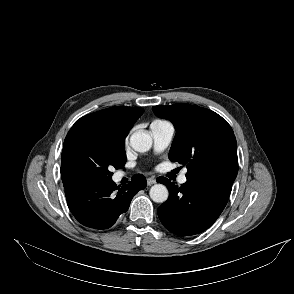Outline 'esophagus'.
I'll list each match as a JSON object with an SVG mask.
<instances>
[{
	"label": "esophagus",
	"instance_id": "esophagus-1",
	"mask_svg": "<svg viewBox=\"0 0 294 294\" xmlns=\"http://www.w3.org/2000/svg\"><path fill=\"white\" fill-rule=\"evenodd\" d=\"M156 183V180L152 177L147 178V185L151 186Z\"/></svg>",
	"mask_w": 294,
	"mask_h": 294
}]
</instances>
